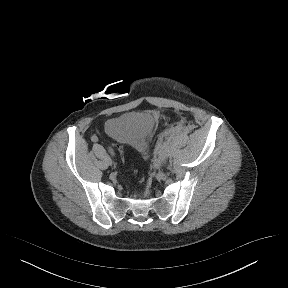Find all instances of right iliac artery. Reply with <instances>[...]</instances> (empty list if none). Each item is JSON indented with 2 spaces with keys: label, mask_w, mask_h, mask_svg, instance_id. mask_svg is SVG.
<instances>
[{
  "label": "right iliac artery",
  "mask_w": 288,
  "mask_h": 288,
  "mask_svg": "<svg viewBox=\"0 0 288 288\" xmlns=\"http://www.w3.org/2000/svg\"><path fill=\"white\" fill-rule=\"evenodd\" d=\"M91 140H92L93 142H97V141H98V137H97L96 135H93V136L91 137ZM108 151H109V153H110L112 156H115V152H114V150H113L112 147H108Z\"/></svg>",
  "instance_id": "82829eb1"
}]
</instances>
